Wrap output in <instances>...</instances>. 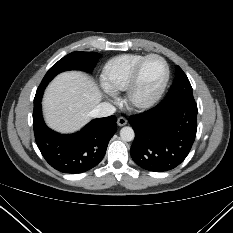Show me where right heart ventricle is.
Instances as JSON below:
<instances>
[{
	"label": "right heart ventricle",
	"instance_id": "obj_1",
	"mask_svg": "<svg viewBox=\"0 0 233 233\" xmlns=\"http://www.w3.org/2000/svg\"><path fill=\"white\" fill-rule=\"evenodd\" d=\"M144 57L142 54H123L109 60L101 73L104 89L109 93L125 91L135 67Z\"/></svg>",
	"mask_w": 233,
	"mask_h": 233
}]
</instances>
